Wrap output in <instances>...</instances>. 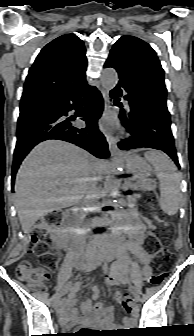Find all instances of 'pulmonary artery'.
I'll list each match as a JSON object with an SVG mask.
<instances>
[{
    "label": "pulmonary artery",
    "instance_id": "obj_1",
    "mask_svg": "<svg viewBox=\"0 0 194 336\" xmlns=\"http://www.w3.org/2000/svg\"><path fill=\"white\" fill-rule=\"evenodd\" d=\"M125 104L128 105V101L127 100H125Z\"/></svg>",
    "mask_w": 194,
    "mask_h": 336
}]
</instances>
